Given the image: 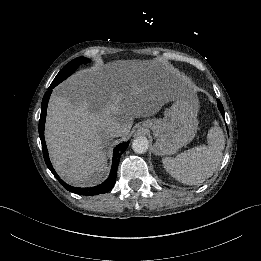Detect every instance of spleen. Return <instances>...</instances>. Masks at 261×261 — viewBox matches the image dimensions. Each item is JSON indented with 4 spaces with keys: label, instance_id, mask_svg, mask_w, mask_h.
<instances>
[{
    "label": "spleen",
    "instance_id": "3e777b00",
    "mask_svg": "<svg viewBox=\"0 0 261 261\" xmlns=\"http://www.w3.org/2000/svg\"><path fill=\"white\" fill-rule=\"evenodd\" d=\"M208 146L189 149L175 158L162 159L165 170L177 181L186 185H198L210 178L222 161L225 136L214 121L207 134Z\"/></svg>",
    "mask_w": 261,
    "mask_h": 261
}]
</instances>
